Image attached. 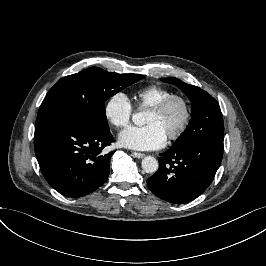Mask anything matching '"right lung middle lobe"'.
<instances>
[{
    "label": "right lung middle lobe",
    "instance_id": "obj_1",
    "mask_svg": "<svg viewBox=\"0 0 266 266\" xmlns=\"http://www.w3.org/2000/svg\"><path fill=\"white\" fill-rule=\"evenodd\" d=\"M143 78L139 74H117L98 67L63 77L43 100L36 125L54 117L67 116L97 131H108L105 101Z\"/></svg>",
    "mask_w": 266,
    "mask_h": 266
}]
</instances>
